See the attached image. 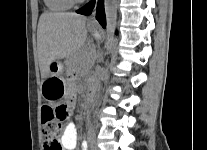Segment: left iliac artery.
Masks as SVG:
<instances>
[{"label":"left iliac artery","mask_w":207,"mask_h":150,"mask_svg":"<svg viewBox=\"0 0 207 150\" xmlns=\"http://www.w3.org/2000/svg\"><path fill=\"white\" fill-rule=\"evenodd\" d=\"M89 135H90V141L93 142L95 140V135H94L93 131H91ZM85 150H87V149H85Z\"/></svg>","instance_id":"1"}]
</instances>
